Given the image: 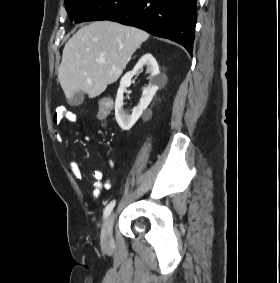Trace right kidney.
<instances>
[{"label":"right kidney","instance_id":"right-kidney-1","mask_svg":"<svg viewBox=\"0 0 280 283\" xmlns=\"http://www.w3.org/2000/svg\"><path fill=\"white\" fill-rule=\"evenodd\" d=\"M143 66H146V72L150 74L149 85L144 88L142 98L137 107L132 111L131 115H128L127 111L123 109V94L125 88L131 84V79L136 75ZM166 81V77L160 75L159 66L157 61L151 54L143 55L138 63L135 65L132 71L127 72L120 81V87L117 91V97L115 100V118L122 130H130L137 120L142 115L143 111L148 107L152 101L156 91L159 89V85Z\"/></svg>","mask_w":280,"mask_h":283}]
</instances>
